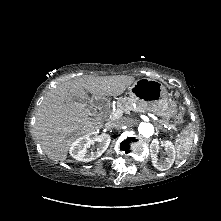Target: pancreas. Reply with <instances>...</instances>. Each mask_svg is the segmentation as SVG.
I'll return each instance as SVG.
<instances>
[{
    "label": "pancreas",
    "instance_id": "pancreas-1",
    "mask_svg": "<svg viewBox=\"0 0 221 221\" xmlns=\"http://www.w3.org/2000/svg\"><path fill=\"white\" fill-rule=\"evenodd\" d=\"M135 102L131 98L127 97H120L117 103L118 109H120L123 112L129 113L131 110H133V104ZM137 109L140 112H146V109L137 106ZM160 123L163 125H169L168 120H160Z\"/></svg>",
    "mask_w": 221,
    "mask_h": 221
}]
</instances>
